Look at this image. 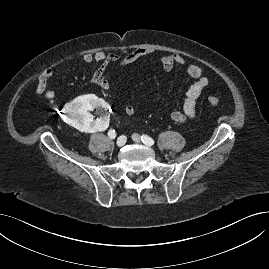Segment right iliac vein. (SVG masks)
Masks as SVG:
<instances>
[{
    "instance_id": "63e3f726",
    "label": "right iliac vein",
    "mask_w": 269,
    "mask_h": 269,
    "mask_svg": "<svg viewBox=\"0 0 269 269\" xmlns=\"http://www.w3.org/2000/svg\"><path fill=\"white\" fill-rule=\"evenodd\" d=\"M125 143H126V137L125 136H120L116 141V145L118 147H122Z\"/></svg>"
}]
</instances>
